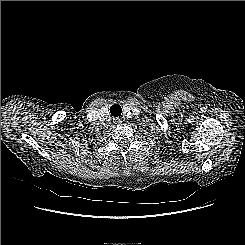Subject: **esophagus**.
Returning <instances> with one entry per match:
<instances>
[{
  "instance_id": "1",
  "label": "esophagus",
  "mask_w": 245,
  "mask_h": 245,
  "mask_svg": "<svg viewBox=\"0 0 245 245\" xmlns=\"http://www.w3.org/2000/svg\"><path fill=\"white\" fill-rule=\"evenodd\" d=\"M114 123H115V124H120V123H121V119H120V118L114 119Z\"/></svg>"
}]
</instances>
